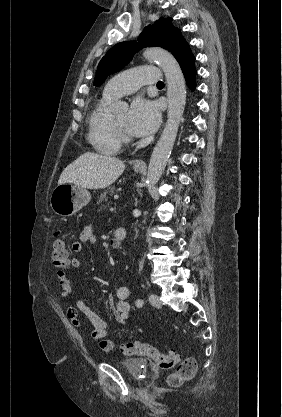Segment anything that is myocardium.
I'll return each mask as SVG.
<instances>
[{
	"instance_id": "myocardium-1",
	"label": "myocardium",
	"mask_w": 282,
	"mask_h": 417,
	"mask_svg": "<svg viewBox=\"0 0 282 417\" xmlns=\"http://www.w3.org/2000/svg\"><path fill=\"white\" fill-rule=\"evenodd\" d=\"M111 125H112V128H113L115 134L120 139V141H122V142H130L131 141V139H132L131 135L128 132H126L125 130H123L120 126L117 125V123L115 122L114 116H111Z\"/></svg>"
}]
</instances>
